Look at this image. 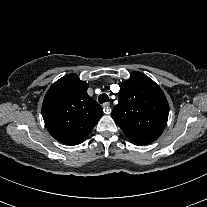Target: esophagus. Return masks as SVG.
<instances>
[{"mask_svg":"<svg viewBox=\"0 0 207 207\" xmlns=\"http://www.w3.org/2000/svg\"><path fill=\"white\" fill-rule=\"evenodd\" d=\"M103 111L105 114H110L111 113V108H110V103H104L103 104Z\"/></svg>","mask_w":207,"mask_h":207,"instance_id":"34e87169","label":"esophagus"}]
</instances>
